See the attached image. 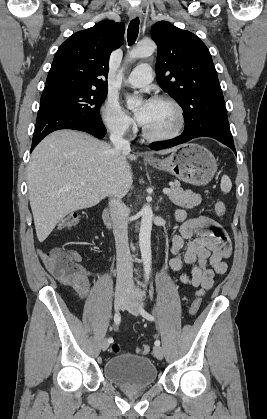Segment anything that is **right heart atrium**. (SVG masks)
Returning <instances> with one entry per match:
<instances>
[{"mask_svg":"<svg viewBox=\"0 0 267 419\" xmlns=\"http://www.w3.org/2000/svg\"><path fill=\"white\" fill-rule=\"evenodd\" d=\"M101 116L104 125L113 134L127 135L133 129V119L113 98L106 100L101 110Z\"/></svg>","mask_w":267,"mask_h":419,"instance_id":"1","label":"right heart atrium"}]
</instances>
